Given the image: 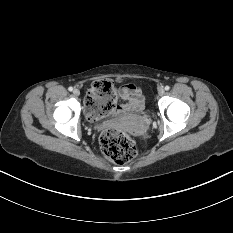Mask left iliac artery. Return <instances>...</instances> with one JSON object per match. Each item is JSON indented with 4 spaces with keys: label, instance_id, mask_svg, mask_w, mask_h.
Masks as SVG:
<instances>
[{
    "label": "left iliac artery",
    "instance_id": "left-iliac-artery-1",
    "mask_svg": "<svg viewBox=\"0 0 233 233\" xmlns=\"http://www.w3.org/2000/svg\"><path fill=\"white\" fill-rule=\"evenodd\" d=\"M170 89L169 86H165V90L168 91Z\"/></svg>",
    "mask_w": 233,
    "mask_h": 233
}]
</instances>
